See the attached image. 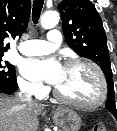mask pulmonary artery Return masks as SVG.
Listing matches in <instances>:
<instances>
[{
	"mask_svg": "<svg viewBox=\"0 0 117 131\" xmlns=\"http://www.w3.org/2000/svg\"><path fill=\"white\" fill-rule=\"evenodd\" d=\"M62 41L61 33L56 30H50L47 34V40L31 39L23 41L19 45V50L27 56L44 55L52 52Z\"/></svg>",
	"mask_w": 117,
	"mask_h": 131,
	"instance_id": "obj_1",
	"label": "pulmonary artery"
}]
</instances>
